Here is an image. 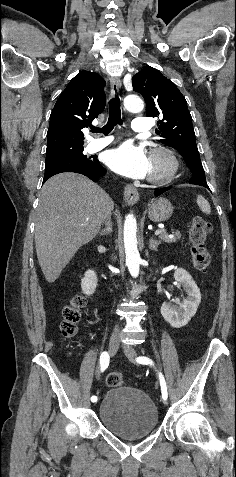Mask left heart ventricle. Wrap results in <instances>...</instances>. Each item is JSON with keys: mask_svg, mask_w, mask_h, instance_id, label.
<instances>
[{"mask_svg": "<svg viewBox=\"0 0 236 477\" xmlns=\"http://www.w3.org/2000/svg\"><path fill=\"white\" fill-rule=\"evenodd\" d=\"M165 165L162 159L151 160L150 162V174H158L163 171Z\"/></svg>", "mask_w": 236, "mask_h": 477, "instance_id": "obj_1", "label": "left heart ventricle"}]
</instances>
